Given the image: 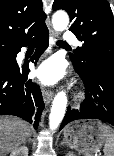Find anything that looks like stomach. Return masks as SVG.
<instances>
[{"instance_id": "1", "label": "stomach", "mask_w": 114, "mask_h": 156, "mask_svg": "<svg viewBox=\"0 0 114 156\" xmlns=\"http://www.w3.org/2000/svg\"><path fill=\"white\" fill-rule=\"evenodd\" d=\"M103 124L98 120H78L64 129V140L67 145L85 156H97L105 145L107 136Z\"/></svg>"}]
</instances>
